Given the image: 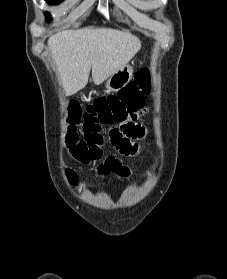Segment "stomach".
Listing matches in <instances>:
<instances>
[{"instance_id":"1","label":"stomach","mask_w":227,"mask_h":279,"mask_svg":"<svg viewBox=\"0 0 227 279\" xmlns=\"http://www.w3.org/2000/svg\"><path fill=\"white\" fill-rule=\"evenodd\" d=\"M133 73L134 69L132 65L127 63L122 66L106 80V92H118L131 81Z\"/></svg>"}]
</instances>
